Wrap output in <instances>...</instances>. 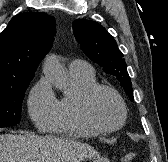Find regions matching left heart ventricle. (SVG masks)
Returning <instances> with one entry per match:
<instances>
[{
  "instance_id": "obj_1",
  "label": "left heart ventricle",
  "mask_w": 168,
  "mask_h": 162,
  "mask_svg": "<svg viewBox=\"0 0 168 162\" xmlns=\"http://www.w3.org/2000/svg\"><path fill=\"white\" fill-rule=\"evenodd\" d=\"M91 110L95 119L104 126L116 125L121 119V109L116 98L104 90L93 97Z\"/></svg>"
}]
</instances>
